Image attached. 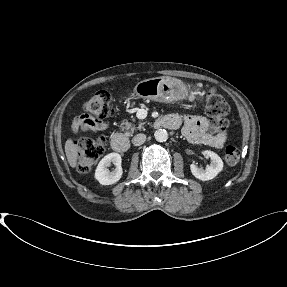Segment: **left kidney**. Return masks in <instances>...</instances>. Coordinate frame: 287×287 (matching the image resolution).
Here are the masks:
<instances>
[{"mask_svg": "<svg viewBox=\"0 0 287 287\" xmlns=\"http://www.w3.org/2000/svg\"><path fill=\"white\" fill-rule=\"evenodd\" d=\"M203 154H206L210 157L211 163L205 169L198 168L195 164H191L190 169L192 174L202 180L207 181L215 178L219 172L223 169L222 159L213 151H203Z\"/></svg>", "mask_w": 287, "mask_h": 287, "instance_id": "obj_1", "label": "left kidney"}]
</instances>
